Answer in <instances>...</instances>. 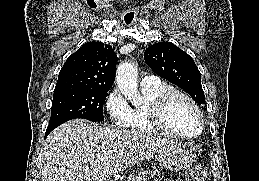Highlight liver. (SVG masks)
<instances>
[{
  "label": "liver",
  "instance_id": "obj_1",
  "mask_svg": "<svg viewBox=\"0 0 259 181\" xmlns=\"http://www.w3.org/2000/svg\"><path fill=\"white\" fill-rule=\"evenodd\" d=\"M171 143L84 119L68 121L46 138L42 181H107Z\"/></svg>",
  "mask_w": 259,
  "mask_h": 181
}]
</instances>
